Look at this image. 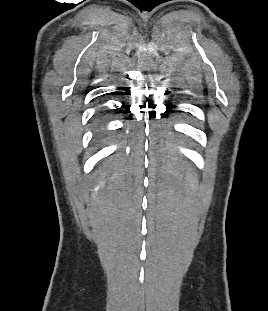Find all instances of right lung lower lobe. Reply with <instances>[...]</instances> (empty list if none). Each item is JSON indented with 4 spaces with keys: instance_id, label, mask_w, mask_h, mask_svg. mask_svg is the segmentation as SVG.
<instances>
[{
    "instance_id": "1",
    "label": "right lung lower lobe",
    "mask_w": 268,
    "mask_h": 311,
    "mask_svg": "<svg viewBox=\"0 0 268 311\" xmlns=\"http://www.w3.org/2000/svg\"><path fill=\"white\" fill-rule=\"evenodd\" d=\"M95 124L98 128H101L105 124L104 112H100L96 119Z\"/></svg>"
}]
</instances>
